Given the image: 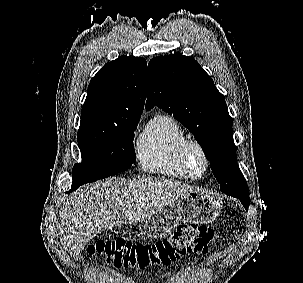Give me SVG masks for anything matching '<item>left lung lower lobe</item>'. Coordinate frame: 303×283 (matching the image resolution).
I'll return each mask as SVG.
<instances>
[{
	"instance_id": "1",
	"label": "left lung lower lobe",
	"mask_w": 303,
	"mask_h": 283,
	"mask_svg": "<svg viewBox=\"0 0 303 283\" xmlns=\"http://www.w3.org/2000/svg\"><path fill=\"white\" fill-rule=\"evenodd\" d=\"M223 193L227 194V195H230V196H233L235 198H238L241 203L243 204V206L245 207L246 210H248V206L250 204V201H249V196L239 192V191H223Z\"/></svg>"
}]
</instances>
